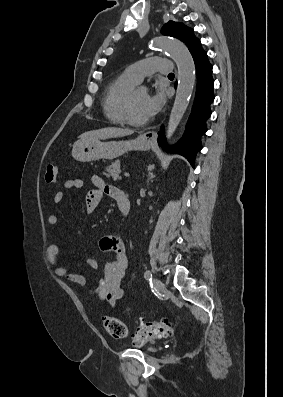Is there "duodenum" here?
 <instances>
[{"mask_svg": "<svg viewBox=\"0 0 283 397\" xmlns=\"http://www.w3.org/2000/svg\"><path fill=\"white\" fill-rule=\"evenodd\" d=\"M120 211L123 213V215H127L130 211V202L128 198L124 199L120 205H119Z\"/></svg>", "mask_w": 283, "mask_h": 397, "instance_id": "obj_1", "label": "duodenum"}]
</instances>
